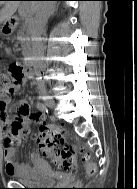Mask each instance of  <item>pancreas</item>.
Returning a JSON list of instances; mask_svg holds the SVG:
<instances>
[{
	"instance_id": "obj_1",
	"label": "pancreas",
	"mask_w": 137,
	"mask_h": 189,
	"mask_svg": "<svg viewBox=\"0 0 137 189\" xmlns=\"http://www.w3.org/2000/svg\"><path fill=\"white\" fill-rule=\"evenodd\" d=\"M17 39H18L19 41H21V43H22L23 46L27 43V40H28L23 31H20V32H19V35H18V38H17Z\"/></svg>"
}]
</instances>
